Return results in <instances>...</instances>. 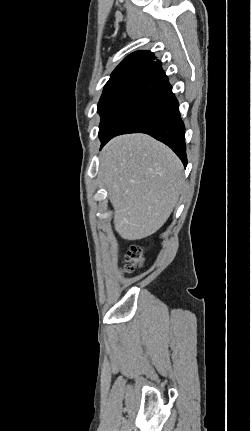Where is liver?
<instances>
[{"instance_id": "obj_1", "label": "liver", "mask_w": 251, "mask_h": 431, "mask_svg": "<svg viewBox=\"0 0 251 431\" xmlns=\"http://www.w3.org/2000/svg\"><path fill=\"white\" fill-rule=\"evenodd\" d=\"M99 177L114 208V228L125 240L157 232L184 187L179 158L145 134L121 135L109 141L100 154Z\"/></svg>"}]
</instances>
